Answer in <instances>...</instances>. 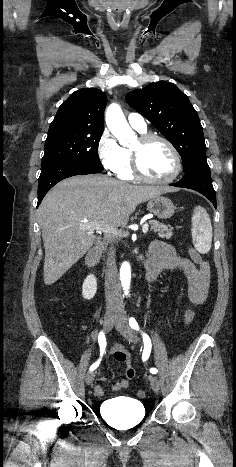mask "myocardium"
<instances>
[{
	"label": "myocardium",
	"mask_w": 236,
	"mask_h": 467,
	"mask_svg": "<svg viewBox=\"0 0 236 467\" xmlns=\"http://www.w3.org/2000/svg\"><path fill=\"white\" fill-rule=\"evenodd\" d=\"M154 141H160L164 143L169 150L171 151L174 160H175V169L174 172L167 178L163 179H155L150 176H148L141 168L140 164V152L134 148H132L131 153H132V170L134 175L139 178L142 181L152 183V184H168L173 182L175 179L178 178L182 171V159L181 156L177 150V148L173 145V143L168 140L167 138L156 135V134H146L143 135L139 138L140 146L141 147H146L150 143Z\"/></svg>",
	"instance_id": "f54148a6"
}]
</instances>
